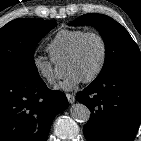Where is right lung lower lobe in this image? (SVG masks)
I'll return each instance as SVG.
<instances>
[{"instance_id":"right-lung-lower-lobe-1","label":"right lung lower lobe","mask_w":141,"mask_h":141,"mask_svg":"<svg viewBox=\"0 0 141 141\" xmlns=\"http://www.w3.org/2000/svg\"><path fill=\"white\" fill-rule=\"evenodd\" d=\"M68 107L63 92L38 75H0V141H46L55 115Z\"/></svg>"}]
</instances>
